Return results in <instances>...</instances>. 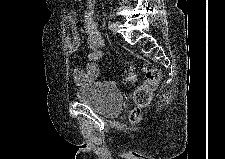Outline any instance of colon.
Returning <instances> with one entry per match:
<instances>
[{"label": "colon", "instance_id": "1", "mask_svg": "<svg viewBox=\"0 0 225 159\" xmlns=\"http://www.w3.org/2000/svg\"><path fill=\"white\" fill-rule=\"evenodd\" d=\"M145 80L138 86L134 92V109L130 114L132 120H137L143 109L147 108L150 104L153 92L157 89L160 80L161 72L155 67H147L144 69ZM138 79V71L131 69L126 75L127 83H135Z\"/></svg>", "mask_w": 225, "mask_h": 159}]
</instances>
